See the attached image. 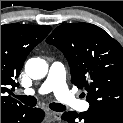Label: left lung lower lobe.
<instances>
[{"label": "left lung lower lobe", "instance_id": "left-lung-lower-lobe-1", "mask_svg": "<svg viewBox=\"0 0 123 123\" xmlns=\"http://www.w3.org/2000/svg\"><path fill=\"white\" fill-rule=\"evenodd\" d=\"M62 119L69 123H123V112L90 106L79 115L73 111L65 112Z\"/></svg>", "mask_w": 123, "mask_h": 123}]
</instances>
